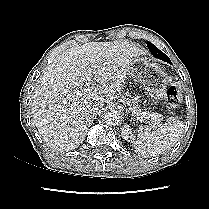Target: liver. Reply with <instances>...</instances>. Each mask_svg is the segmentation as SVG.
I'll return each instance as SVG.
<instances>
[{
    "mask_svg": "<svg viewBox=\"0 0 209 209\" xmlns=\"http://www.w3.org/2000/svg\"><path fill=\"white\" fill-rule=\"evenodd\" d=\"M143 50L129 42H90L64 52L47 68L34 92L32 119L48 147L76 149L85 139L90 109L119 98L129 65ZM82 96L80 91L93 82Z\"/></svg>",
    "mask_w": 209,
    "mask_h": 209,
    "instance_id": "liver-1",
    "label": "liver"
}]
</instances>
